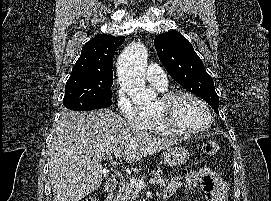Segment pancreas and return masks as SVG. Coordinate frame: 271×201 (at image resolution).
Wrapping results in <instances>:
<instances>
[{
  "label": "pancreas",
  "mask_w": 271,
  "mask_h": 201,
  "mask_svg": "<svg viewBox=\"0 0 271 201\" xmlns=\"http://www.w3.org/2000/svg\"><path fill=\"white\" fill-rule=\"evenodd\" d=\"M154 179L160 187L165 188L168 184V179L162 177V171L157 170L154 172ZM140 190L138 187L134 186L132 183H123L122 187L114 201H134L139 198Z\"/></svg>",
  "instance_id": "cf45deb5"
}]
</instances>
